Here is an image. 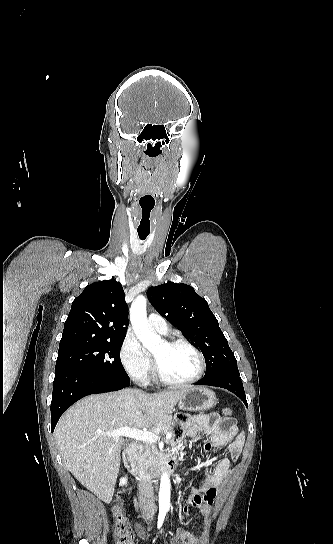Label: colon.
Instances as JSON below:
<instances>
[{"label":"colon","instance_id":"5ec220e1","mask_svg":"<svg viewBox=\"0 0 333 544\" xmlns=\"http://www.w3.org/2000/svg\"><path fill=\"white\" fill-rule=\"evenodd\" d=\"M234 410L231 407H224L222 415L231 419ZM113 516L115 520V535L117 544H134L133 534L124 510V498L120 497L113 507Z\"/></svg>","mask_w":333,"mask_h":544}]
</instances>
